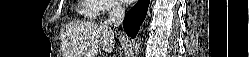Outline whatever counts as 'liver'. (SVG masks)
Masks as SVG:
<instances>
[{"instance_id": "1", "label": "liver", "mask_w": 249, "mask_h": 57, "mask_svg": "<svg viewBox=\"0 0 249 57\" xmlns=\"http://www.w3.org/2000/svg\"><path fill=\"white\" fill-rule=\"evenodd\" d=\"M61 35L64 57H96L100 49L111 53L114 48V32L104 24L70 22L62 29Z\"/></svg>"}]
</instances>
